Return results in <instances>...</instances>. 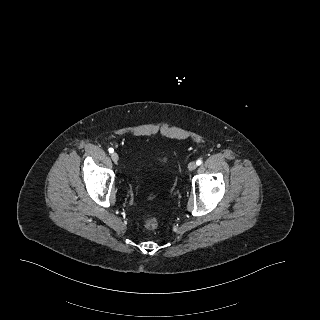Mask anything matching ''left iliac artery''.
I'll return each instance as SVG.
<instances>
[{
  "label": "left iliac artery",
  "mask_w": 320,
  "mask_h": 320,
  "mask_svg": "<svg viewBox=\"0 0 320 320\" xmlns=\"http://www.w3.org/2000/svg\"><path fill=\"white\" fill-rule=\"evenodd\" d=\"M196 164H197V165H201V164H202V160H201V159H198L197 162H196Z\"/></svg>",
  "instance_id": "44dca946"
}]
</instances>
